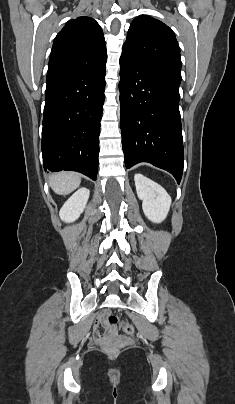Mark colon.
Masks as SVG:
<instances>
[{"label": "colon", "instance_id": "1", "mask_svg": "<svg viewBox=\"0 0 235 404\" xmlns=\"http://www.w3.org/2000/svg\"><path fill=\"white\" fill-rule=\"evenodd\" d=\"M103 325L108 328V334H112L117 328L128 335H131L134 332L132 324L120 323L118 317L112 312L105 313ZM95 336L98 339H103L104 334L100 330H96Z\"/></svg>", "mask_w": 235, "mask_h": 404}]
</instances>
